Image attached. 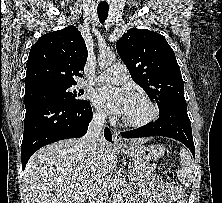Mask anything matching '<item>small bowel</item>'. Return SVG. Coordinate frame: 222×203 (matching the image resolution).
Instances as JSON below:
<instances>
[{
	"label": "small bowel",
	"instance_id": "c3829d8e",
	"mask_svg": "<svg viewBox=\"0 0 222 203\" xmlns=\"http://www.w3.org/2000/svg\"><path fill=\"white\" fill-rule=\"evenodd\" d=\"M144 194L148 198V203H185V194L182 189L170 186L164 182L150 183ZM143 203V201H137Z\"/></svg>",
	"mask_w": 222,
	"mask_h": 203
}]
</instances>
